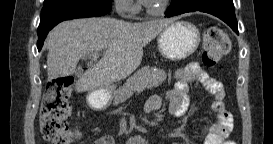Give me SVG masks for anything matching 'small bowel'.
Segmentation results:
<instances>
[{
  "instance_id": "small-bowel-1",
  "label": "small bowel",
  "mask_w": 273,
  "mask_h": 144,
  "mask_svg": "<svg viewBox=\"0 0 273 144\" xmlns=\"http://www.w3.org/2000/svg\"><path fill=\"white\" fill-rule=\"evenodd\" d=\"M175 77V88L167 94L169 113L178 118L184 116L189 106L190 86L200 84L213 96L214 101L211 108L216 115V121L206 125L202 132L203 143L227 144L226 138L232 130L233 118L225 108V93L222 83L195 63L178 70ZM160 107V96L152 95L145 101L143 110L146 114H152L157 112ZM95 144H114V139L111 136H102L95 141Z\"/></svg>"
}]
</instances>
